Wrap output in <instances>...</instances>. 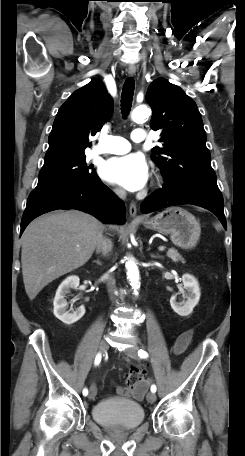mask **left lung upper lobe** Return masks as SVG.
<instances>
[{
    "label": "left lung upper lobe",
    "mask_w": 245,
    "mask_h": 456,
    "mask_svg": "<svg viewBox=\"0 0 245 456\" xmlns=\"http://www.w3.org/2000/svg\"><path fill=\"white\" fill-rule=\"evenodd\" d=\"M146 101L153 110L151 128L162 131V147L152 149V159L161 168L165 181L218 188L195 102L164 78L150 84Z\"/></svg>",
    "instance_id": "1"
}]
</instances>
